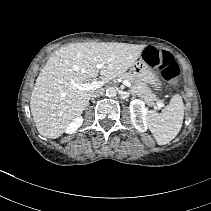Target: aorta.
I'll return each mask as SVG.
<instances>
[{
    "label": "aorta",
    "instance_id": "obj_1",
    "mask_svg": "<svg viewBox=\"0 0 211 211\" xmlns=\"http://www.w3.org/2000/svg\"><path fill=\"white\" fill-rule=\"evenodd\" d=\"M106 95L108 97H115L117 95V90L114 87H110L106 90Z\"/></svg>",
    "mask_w": 211,
    "mask_h": 211
}]
</instances>
